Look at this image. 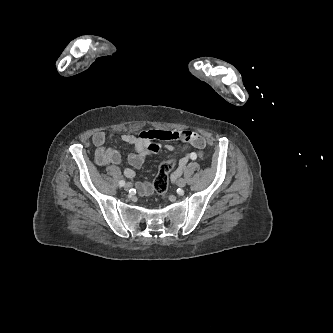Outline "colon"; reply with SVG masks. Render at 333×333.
I'll list each match as a JSON object with an SVG mask.
<instances>
[{
	"mask_svg": "<svg viewBox=\"0 0 333 333\" xmlns=\"http://www.w3.org/2000/svg\"><path fill=\"white\" fill-rule=\"evenodd\" d=\"M175 166V159L170 157L162 161L159 165L158 173L154 179L153 187L156 193L163 199L166 198L168 189L169 173Z\"/></svg>",
	"mask_w": 333,
	"mask_h": 333,
	"instance_id": "obj_1",
	"label": "colon"
}]
</instances>
